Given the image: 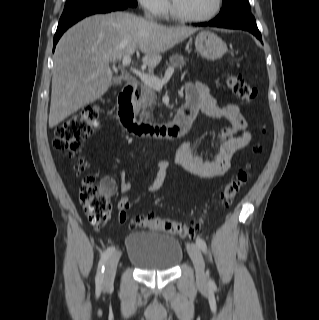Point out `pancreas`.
Here are the masks:
<instances>
[{"label": "pancreas", "mask_w": 319, "mask_h": 320, "mask_svg": "<svg viewBox=\"0 0 319 320\" xmlns=\"http://www.w3.org/2000/svg\"><path fill=\"white\" fill-rule=\"evenodd\" d=\"M186 61L187 59L182 55L175 54L169 58L168 66L181 69L184 65H186ZM156 104L157 95L154 88L144 85L141 88V95L136 102V109L138 112H140V116L144 117L145 119H150Z\"/></svg>", "instance_id": "pancreas-1"}]
</instances>
